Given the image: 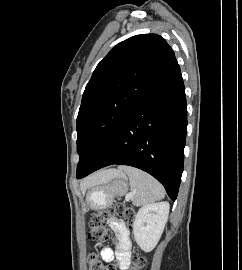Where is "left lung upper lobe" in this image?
<instances>
[{
    "mask_svg": "<svg viewBox=\"0 0 242 270\" xmlns=\"http://www.w3.org/2000/svg\"><path fill=\"white\" fill-rule=\"evenodd\" d=\"M175 61L164 38L142 34L117 44L99 62L77 116V175L91 166L120 124Z\"/></svg>",
    "mask_w": 242,
    "mask_h": 270,
    "instance_id": "5c2ea615",
    "label": "left lung upper lobe"
}]
</instances>
